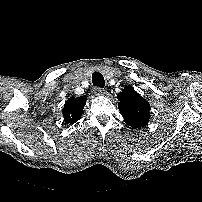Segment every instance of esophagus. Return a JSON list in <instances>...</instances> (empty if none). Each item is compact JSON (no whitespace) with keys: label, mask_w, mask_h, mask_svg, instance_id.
I'll list each match as a JSON object with an SVG mask.
<instances>
[{"label":"esophagus","mask_w":202,"mask_h":202,"mask_svg":"<svg viewBox=\"0 0 202 202\" xmlns=\"http://www.w3.org/2000/svg\"><path fill=\"white\" fill-rule=\"evenodd\" d=\"M105 93H106L105 90L102 89V88H99V87L94 88V94H95L96 96H102V95H104Z\"/></svg>","instance_id":"34e87169"}]
</instances>
